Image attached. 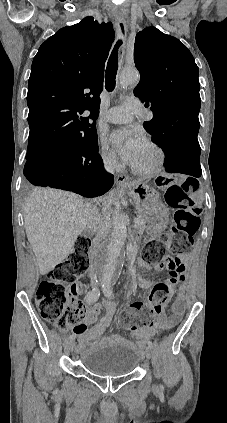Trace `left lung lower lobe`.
<instances>
[{"label": "left lung lower lobe", "instance_id": "left-lung-lower-lobe-1", "mask_svg": "<svg viewBox=\"0 0 227 423\" xmlns=\"http://www.w3.org/2000/svg\"><path fill=\"white\" fill-rule=\"evenodd\" d=\"M200 124L189 123L177 131L159 136L158 143L165 153V167L168 173H183L200 177V145L197 139ZM195 180V179H192Z\"/></svg>", "mask_w": 227, "mask_h": 423}]
</instances>
